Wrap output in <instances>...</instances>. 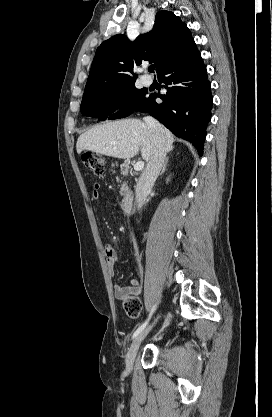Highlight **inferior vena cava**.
<instances>
[{"mask_svg":"<svg viewBox=\"0 0 272 417\" xmlns=\"http://www.w3.org/2000/svg\"><path fill=\"white\" fill-rule=\"evenodd\" d=\"M144 121L151 133L152 150L151 157L136 186V204L138 210L145 204L147 195L151 191L166 159L163 127L156 119L150 116L145 117Z\"/></svg>","mask_w":272,"mask_h":417,"instance_id":"obj_1","label":"inferior vena cava"}]
</instances>
